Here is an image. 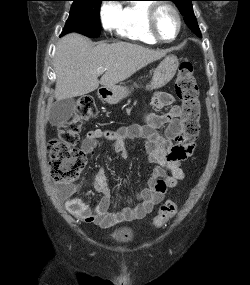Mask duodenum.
I'll use <instances>...</instances> for the list:
<instances>
[{
  "label": "duodenum",
  "instance_id": "duodenum-1",
  "mask_svg": "<svg viewBox=\"0 0 250 285\" xmlns=\"http://www.w3.org/2000/svg\"><path fill=\"white\" fill-rule=\"evenodd\" d=\"M101 94H102L104 97H107V96L109 95V91H107L106 89H102Z\"/></svg>",
  "mask_w": 250,
  "mask_h": 285
}]
</instances>
